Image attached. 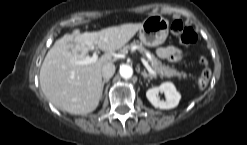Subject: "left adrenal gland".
Masks as SVG:
<instances>
[{
	"mask_svg": "<svg viewBox=\"0 0 247 145\" xmlns=\"http://www.w3.org/2000/svg\"><path fill=\"white\" fill-rule=\"evenodd\" d=\"M142 76L144 77V78H150V79H153V78H155L153 75H151V74H148V73H146V71L144 70V71H142Z\"/></svg>",
	"mask_w": 247,
	"mask_h": 145,
	"instance_id": "a2214340",
	"label": "left adrenal gland"
}]
</instances>
